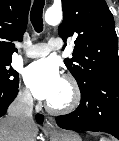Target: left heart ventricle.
<instances>
[{
    "label": "left heart ventricle",
    "mask_w": 119,
    "mask_h": 141,
    "mask_svg": "<svg viewBox=\"0 0 119 141\" xmlns=\"http://www.w3.org/2000/svg\"><path fill=\"white\" fill-rule=\"evenodd\" d=\"M70 91L66 83L62 80L61 85L56 94L49 100L54 106H60L68 102Z\"/></svg>",
    "instance_id": "b2bd125f"
}]
</instances>
